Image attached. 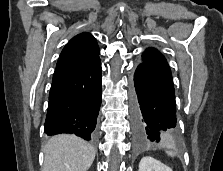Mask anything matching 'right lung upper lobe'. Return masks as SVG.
Here are the masks:
<instances>
[{"label": "right lung upper lobe", "mask_w": 223, "mask_h": 171, "mask_svg": "<svg viewBox=\"0 0 223 171\" xmlns=\"http://www.w3.org/2000/svg\"><path fill=\"white\" fill-rule=\"evenodd\" d=\"M99 59L96 39L90 33H80L63 48L53 79L80 71Z\"/></svg>", "instance_id": "cb5924a9"}]
</instances>
